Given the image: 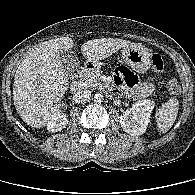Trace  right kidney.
Masks as SVG:
<instances>
[{"label":"right kidney","mask_w":195,"mask_h":195,"mask_svg":"<svg viewBox=\"0 0 195 195\" xmlns=\"http://www.w3.org/2000/svg\"><path fill=\"white\" fill-rule=\"evenodd\" d=\"M68 123L67 116L63 113H55L52 120L47 123V129L51 132H58L65 128Z\"/></svg>","instance_id":"ca27d5eb"}]
</instances>
